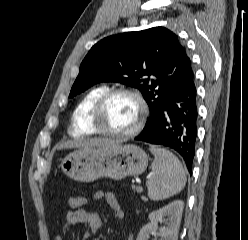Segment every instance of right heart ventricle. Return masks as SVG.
<instances>
[{"label":"right heart ventricle","instance_id":"obj_1","mask_svg":"<svg viewBox=\"0 0 248 240\" xmlns=\"http://www.w3.org/2000/svg\"><path fill=\"white\" fill-rule=\"evenodd\" d=\"M107 90L109 86L101 84L90 89L80 99L71 117L70 133L73 136L83 137L95 133L90 121L92 110L99 97Z\"/></svg>","mask_w":248,"mask_h":240}]
</instances>
